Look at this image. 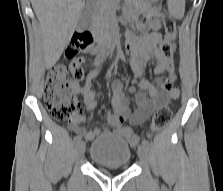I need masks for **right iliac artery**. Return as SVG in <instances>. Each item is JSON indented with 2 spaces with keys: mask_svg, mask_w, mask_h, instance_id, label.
<instances>
[{
  "mask_svg": "<svg viewBox=\"0 0 223 191\" xmlns=\"http://www.w3.org/2000/svg\"><path fill=\"white\" fill-rule=\"evenodd\" d=\"M80 140H81L80 136H75L74 139H73L74 143H77Z\"/></svg>",
  "mask_w": 223,
  "mask_h": 191,
  "instance_id": "1",
  "label": "right iliac artery"
}]
</instances>
